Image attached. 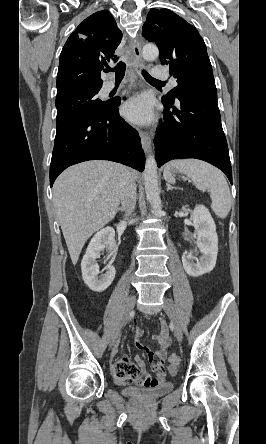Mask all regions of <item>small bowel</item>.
Here are the masks:
<instances>
[{"mask_svg":"<svg viewBox=\"0 0 266 444\" xmlns=\"http://www.w3.org/2000/svg\"><path fill=\"white\" fill-rule=\"evenodd\" d=\"M142 335L143 332L141 330L136 331L134 338L135 345L138 349L143 350L146 353L150 361H153L154 358H156V361L152 363V368L156 375L155 377H151L148 374L146 364L140 357H135L134 362H132L127 355H124L112 365V374L116 382L120 385L133 383L145 388H151L166 382L165 361L167 350L171 343L167 323L164 320H161V332L154 337L159 346L155 352H152L142 345ZM169 370L173 371L171 367H169Z\"/></svg>","mask_w":266,"mask_h":444,"instance_id":"1","label":"small bowel"}]
</instances>
